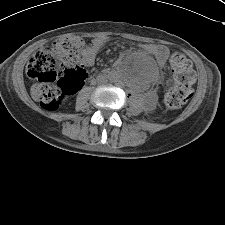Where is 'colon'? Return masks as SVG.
Listing matches in <instances>:
<instances>
[{
	"instance_id": "obj_1",
	"label": "colon",
	"mask_w": 225,
	"mask_h": 225,
	"mask_svg": "<svg viewBox=\"0 0 225 225\" xmlns=\"http://www.w3.org/2000/svg\"><path fill=\"white\" fill-rule=\"evenodd\" d=\"M83 45L81 38L61 37L50 47L36 52L27 64L26 73L35 81L31 94L45 110L55 111L68 95L83 86L87 72L76 65ZM169 63L173 85L164 96V104L169 109H178L193 96L192 84L195 77L185 55L173 53ZM61 71L64 75L59 79Z\"/></svg>"
}]
</instances>
